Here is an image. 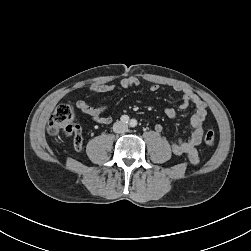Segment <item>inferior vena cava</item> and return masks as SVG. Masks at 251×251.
<instances>
[{
  "label": "inferior vena cava",
  "mask_w": 251,
  "mask_h": 251,
  "mask_svg": "<svg viewBox=\"0 0 251 251\" xmlns=\"http://www.w3.org/2000/svg\"><path fill=\"white\" fill-rule=\"evenodd\" d=\"M127 130H128V125L121 121H117L113 125V131L115 133H125Z\"/></svg>",
  "instance_id": "1"
}]
</instances>
